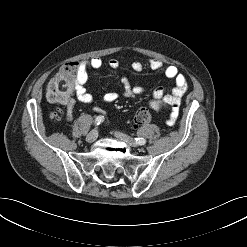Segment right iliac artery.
Listing matches in <instances>:
<instances>
[{
  "label": "right iliac artery",
  "mask_w": 247,
  "mask_h": 247,
  "mask_svg": "<svg viewBox=\"0 0 247 247\" xmlns=\"http://www.w3.org/2000/svg\"><path fill=\"white\" fill-rule=\"evenodd\" d=\"M103 121H104V117H103V116H98V117H96V119H95V121H94V124H95V125H99V124H101Z\"/></svg>",
  "instance_id": "82829eb1"
}]
</instances>
